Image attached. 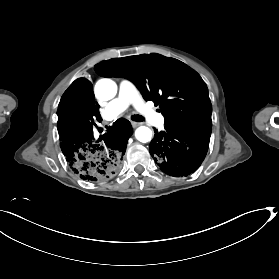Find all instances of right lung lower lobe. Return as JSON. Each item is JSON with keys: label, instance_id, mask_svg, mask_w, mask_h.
Returning a JSON list of instances; mask_svg holds the SVG:
<instances>
[{"label": "right lung lower lobe", "instance_id": "98d812e1", "mask_svg": "<svg viewBox=\"0 0 279 279\" xmlns=\"http://www.w3.org/2000/svg\"><path fill=\"white\" fill-rule=\"evenodd\" d=\"M60 147L72 171L91 182H103L119 171L132 129L122 118L108 132L94 138L92 124L100 119L93 85L85 78L75 80L63 94L57 110Z\"/></svg>", "mask_w": 279, "mask_h": 279}]
</instances>
